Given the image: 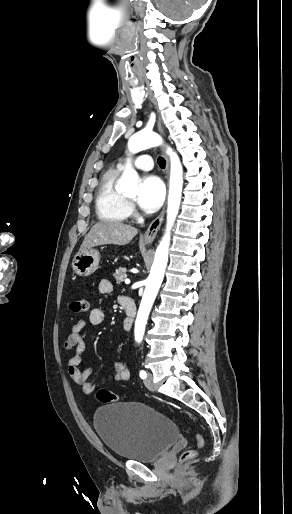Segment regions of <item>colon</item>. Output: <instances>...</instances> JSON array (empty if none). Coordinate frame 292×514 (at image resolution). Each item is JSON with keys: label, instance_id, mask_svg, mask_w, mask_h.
Returning a JSON list of instances; mask_svg holds the SVG:
<instances>
[{"label": "colon", "instance_id": "1", "mask_svg": "<svg viewBox=\"0 0 292 514\" xmlns=\"http://www.w3.org/2000/svg\"><path fill=\"white\" fill-rule=\"evenodd\" d=\"M70 309L74 313H87L89 311V301L87 299H77L71 302ZM96 397L98 401L102 403H112L118 401V396L107 388L99 389L96 392ZM182 425L193 435L195 440V447L184 451L181 456L182 461L193 460L197 457L198 452L204 446V437L203 435L195 430L193 427L187 425L184 422H181Z\"/></svg>", "mask_w": 292, "mask_h": 514}]
</instances>
